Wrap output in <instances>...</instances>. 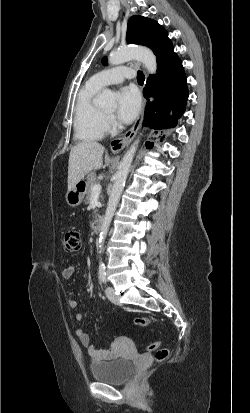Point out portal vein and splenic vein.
Returning a JSON list of instances; mask_svg holds the SVG:
<instances>
[{"label":"portal vein and splenic vein","mask_w":250,"mask_h":413,"mask_svg":"<svg viewBox=\"0 0 250 413\" xmlns=\"http://www.w3.org/2000/svg\"><path fill=\"white\" fill-rule=\"evenodd\" d=\"M101 188H102V187H101L100 184L94 185V186H93V189H92V194H100Z\"/></svg>","instance_id":"portal-vein-and-splenic-vein-1"}]
</instances>
